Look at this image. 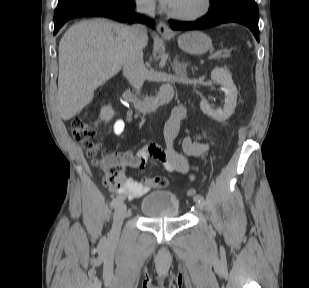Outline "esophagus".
<instances>
[{
  "instance_id": "esophagus-1",
  "label": "esophagus",
  "mask_w": 309,
  "mask_h": 288,
  "mask_svg": "<svg viewBox=\"0 0 309 288\" xmlns=\"http://www.w3.org/2000/svg\"><path fill=\"white\" fill-rule=\"evenodd\" d=\"M158 33L162 36L170 35L171 30L164 21H160L157 27Z\"/></svg>"
}]
</instances>
